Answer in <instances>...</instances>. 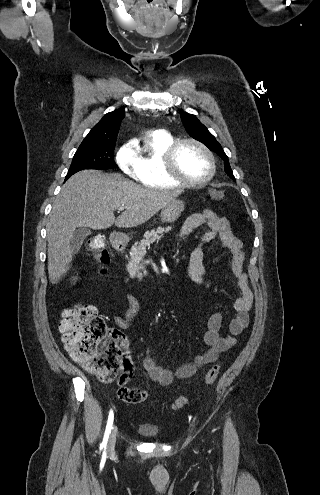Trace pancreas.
<instances>
[{"label": "pancreas", "instance_id": "cf45deb5", "mask_svg": "<svg viewBox=\"0 0 320 495\" xmlns=\"http://www.w3.org/2000/svg\"><path fill=\"white\" fill-rule=\"evenodd\" d=\"M170 230L171 227L168 226L165 228L158 227L157 229H153L152 231H147L144 234L143 240L132 245L130 252L131 259L127 265V272L130 274L131 278H134L137 275L138 271L143 268L140 262L145 256L146 250L150 247V244L154 243L156 240H160L163 236V233Z\"/></svg>", "mask_w": 320, "mask_h": 495}]
</instances>
